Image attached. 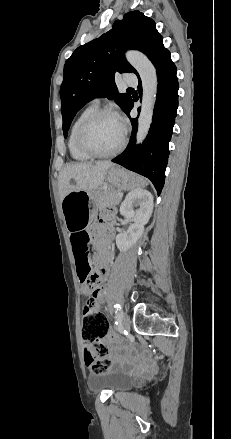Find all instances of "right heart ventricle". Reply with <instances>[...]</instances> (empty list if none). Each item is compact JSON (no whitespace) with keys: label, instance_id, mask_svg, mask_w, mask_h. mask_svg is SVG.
Listing matches in <instances>:
<instances>
[{"label":"right heart ventricle","instance_id":"obj_1","mask_svg":"<svg viewBox=\"0 0 231 439\" xmlns=\"http://www.w3.org/2000/svg\"><path fill=\"white\" fill-rule=\"evenodd\" d=\"M95 110H97L96 105L91 104L87 107H85L75 118V120L73 121L70 131H69V135H68V140H67V146H68V150L69 153L71 155V157L77 161H87L88 159H90V157L88 155H86L83 151H81L77 145L76 142V134H77V130L80 126V124L82 123V121L89 116L92 112H94Z\"/></svg>","mask_w":231,"mask_h":439}]
</instances>
